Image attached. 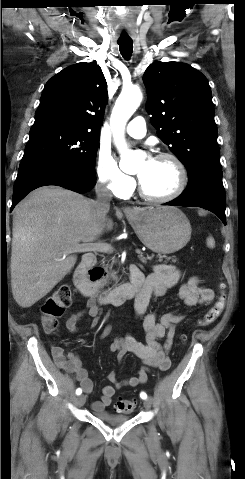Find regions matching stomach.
<instances>
[{"mask_svg": "<svg viewBox=\"0 0 245 479\" xmlns=\"http://www.w3.org/2000/svg\"><path fill=\"white\" fill-rule=\"evenodd\" d=\"M127 218L142 243L153 252L174 253L191 238L188 218L175 207L136 208Z\"/></svg>", "mask_w": 245, "mask_h": 479, "instance_id": "0dacf381", "label": "stomach"}]
</instances>
